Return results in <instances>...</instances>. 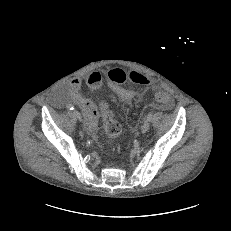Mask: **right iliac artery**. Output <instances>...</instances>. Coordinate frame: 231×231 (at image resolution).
Here are the masks:
<instances>
[{"label": "right iliac artery", "mask_w": 231, "mask_h": 231, "mask_svg": "<svg viewBox=\"0 0 231 231\" xmlns=\"http://www.w3.org/2000/svg\"><path fill=\"white\" fill-rule=\"evenodd\" d=\"M67 108H68L69 110H73V109H74V107H73L71 104L67 105Z\"/></svg>", "instance_id": "1"}]
</instances>
